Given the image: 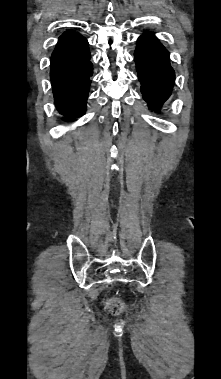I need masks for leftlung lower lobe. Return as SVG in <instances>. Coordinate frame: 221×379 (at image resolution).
Listing matches in <instances>:
<instances>
[{
	"label": "left lung lower lobe",
	"instance_id": "left-lung-lower-lobe-1",
	"mask_svg": "<svg viewBox=\"0 0 221 379\" xmlns=\"http://www.w3.org/2000/svg\"><path fill=\"white\" fill-rule=\"evenodd\" d=\"M141 92L150 109L158 110L170 96L175 74L169 52L150 32L139 37L134 53Z\"/></svg>",
	"mask_w": 221,
	"mask_h": 379
}]
</instances>
